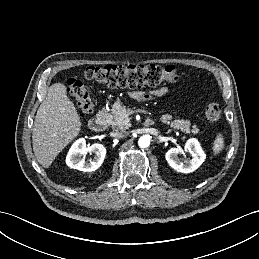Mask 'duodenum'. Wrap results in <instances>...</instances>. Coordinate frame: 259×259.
<instances>
[{
    "label": "duodenum",
    "mask_w": 259,
    "mask_h": 259,
    "mask_svg": "<svg viewBox=\"0 0 259 259\" xmlns=\"http://www.w3.org/2000/svg\"><path fill=\"white\" fill-rule=\"evenodd\" d=\"M108 121V117L105 114H99L89 121V127L95 132H100L107 128Z\"/></svg>",
    "instance_id": "duodenum-1"
}]
</instances>
